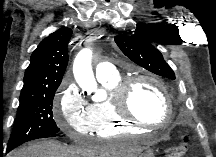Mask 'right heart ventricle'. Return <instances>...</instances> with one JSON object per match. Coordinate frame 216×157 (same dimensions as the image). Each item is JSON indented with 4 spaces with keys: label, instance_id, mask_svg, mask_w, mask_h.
I'll use <instances>...</instances> for the list:
<instances>
[{
    "label": "right heart ventricle",
    "instance_id": "obj_1",
    "mask_svg": "<svg viewBox=\"0 0 216 157\" xmlns=\"http://www.w3.org/2000/svg\"><path fill=\"white\" fill-rule=\"evenodd\" d=\"M122 81L121 75L101 80L100 83L107 91V97L95 101L91 105L94 120L93 132L98 138H110L118 135H138L141 133L137 127L122 120L115 111L113 92L116 85Z\"/></svg>",
    "mask_w": 216,
    "mask_h": 157
}]
</instances>
